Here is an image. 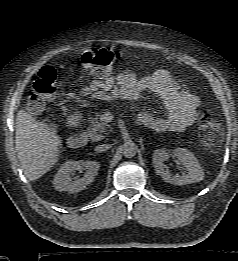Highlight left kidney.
<instances>
[{
  "instance_id": "obj_1",
  "label": "left kidney",
  "mask_w": 238,
  "mask_h": 261,
  "mask_svg": "<svg viewBox=\"0 0 238 261\" xmlns=\"http://www.w3.org/2000/svg\"><path fill=\"white\" fill-rule=\"evenodd\" d=\"M170 155L176 157L186 168L187 173L182 176L172 175L164 161L168 160ZM153 164L157 175L173 185H186L199 182L204 177V172L194 154L185 148H177L172 154L166 149H156L153 153Z\"/></svg>"
}]
</instances>
